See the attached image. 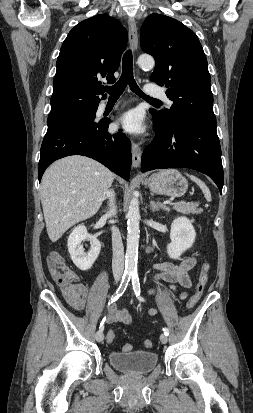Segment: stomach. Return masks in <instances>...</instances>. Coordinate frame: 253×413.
Segmentation results:
<instances>
[{
  "instance_id": "stomach-1",
  "label": "stomach",
  "mask_w": 253,
  "mask_h": 413,
  "mask_svg": "<svg viewBox=\"0 0 253 413\" xmlns=\"http://www.w3.org/2000/svg\"><path fill=\"white\" fill-rule=\"evenodd\" d=\"M144 184L156 193L172 197H181L188 188V181L175 169L161 170L145 179Z\"/></svg>"
}]
</instances>
